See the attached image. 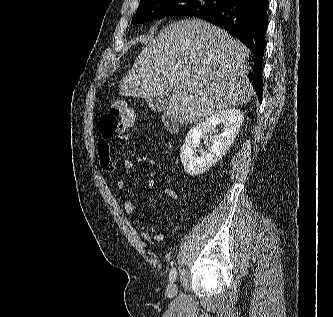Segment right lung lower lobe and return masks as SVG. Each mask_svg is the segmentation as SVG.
I'll return each mask as SVG.
<instances>
[{"label": "right lung lower lobe", "mask_w": 333, "mask_h": 317, "mask_svg": "<svg viewBox=\"0 0 333 317\" xmlns=\"http://www.w3.org/2000/svg\"><path fill=\"white\" fill-rule=\"evenodd\" d=\"M268 0H226L220 7L195 16L229 31L254 54L253 87L261 102L263 54L268 27Z\"/></svg>", "instance_id": "98d812e1"}]
</instances>
